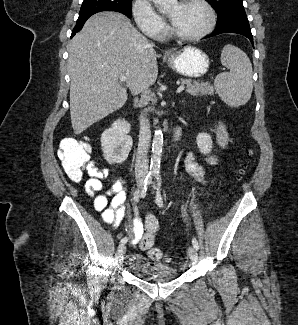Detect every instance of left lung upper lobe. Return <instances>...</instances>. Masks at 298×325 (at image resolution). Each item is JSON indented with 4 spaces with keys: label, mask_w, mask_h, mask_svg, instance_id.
<instances>
[{
    "label": "left lung upper lobe",
    "mask_w": 298,
    "mask_h": 325,
    "mask_svg": "<svg viewBox=\"0 0 298 325\" xmlns=\"http://www.w3.org/2000/svg\"><path fill=\"white\" fill-rule=\"evenodd\" d=\"M214 5L218 21L224 20L227 16L235 12L245 11L243 7V0H210Z\"/></svg>",
    "instance_id": "5c2ea615"
}]
</instances>
